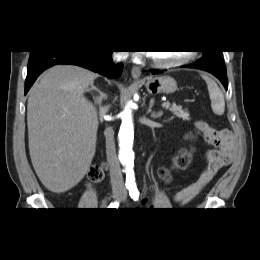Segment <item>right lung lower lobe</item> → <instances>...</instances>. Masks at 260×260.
<instances>
[{
	"mask_svg": "<svg viewBox=\"0 0 260 260\" xmlns=\"http://www.w3.org/2000/svg\"><path fill=\"white\" fill-rule=\"evenodd\" d=\"M111 52L104 50L31 51L25 81V94L44 70L56 64H73L110 78L117 77L121 72V65H112Z\"/></svg>",
	"mask_w": 260,
	"mask_h": 260,
	"instance_id": "right-lung-lower-lobe-1",
	"label": "right lung lower lobe"
}]
</instances>
